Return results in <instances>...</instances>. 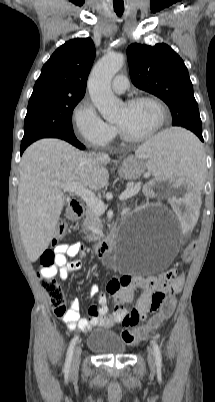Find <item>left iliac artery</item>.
Instances as JSON below:
<instances>
[{"mask_svg": "<svg viewBox=\"0 0 215 402\" xmlns=\"http://www.w3.org/2000/svg\"><path fill=\"white\" fill-rule=\"evenodd\" d=\"M153 344V350H154V356H155V363L158 368H161L162 366V357H161V351L160 347L155 341H152Z\"/></svg>", "mask_w": 215, "mask_h": 402, "instance_id": "44dca946", "label": "left iliac artery"}]
</instances>
